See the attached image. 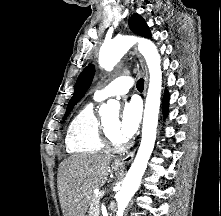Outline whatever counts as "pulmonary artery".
Segmentation results:
<instances>
[{
    "label": "pulmonary artery",
    "instance_id": "1",
    "mask_svg": "<svg viewBox=\"0 0 221 216\" xmlns=\"http://www.w3.org/2000/svg\"><path fill=\"white\" fill-rule=\"evenodd\" d=\"M133 83L134 81L130 76H120L110 81L101 89H98L94 93V99L96 101H102L111 96L124 95L130 90V88L133 86Z\"/></svg>",
    "mask_w": 221,
    "mask_h": 216
}]
</instances>
